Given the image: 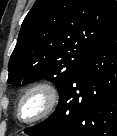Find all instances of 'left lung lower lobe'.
<instances>
[{"instance_id": "1", "label": "left lung lower lobe", "mask_w": 117, "mask_h": 136, "mask_svg": "<svg viewBox=\"0 0 117 136\" xmlns=\"http://www.w3.org/2000/svg\"><path fill=\"white\" fill-rule=\"evenodd\" d=\"M56 111L30 136H117V23L59 93Z\"/></svg>"}]
</instances>
